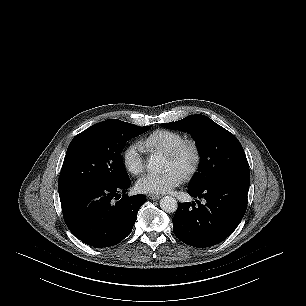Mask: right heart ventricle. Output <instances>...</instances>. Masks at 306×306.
Listing matches in <instances>:
<instances>
[{
  "instance_id": "right-heart-ventricle-1",
  "label": "right heart ventricle",
  "mask_w": 306,
  "mask_h": 306,
  "mask_svg": "<svg viewBox=\"0 0 306 306\" xmlns=\"http://www.w3.org/2000/svg\"><path fill=\"white\" fill-rule=\"evenodd\" d=\"M183 140L184 136L181 133L161 129L146 136L140 144L151 152L159 151L166 154Z\"/></svg>"
}]
</instances>
